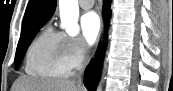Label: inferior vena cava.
Listing matches in <instances>:
<instances>
[{
	"mask_svg": "<svg viewBox=\"0 0 173 91\" xmlns=\"http://www.w3.org/2000/svg\"><path fill=\"white\" fill-rule=\"evenodd\" d=\"M86 49H87V47H86V44H85L84 47H83V52L84 53H86ZM83 71H84V65L80 66V68H79L78 82L81 81V74L83 73Z\"/></svg>",
	"mask_w": 173,
	"mask_h": 91,
	"instance_id": "1",
	"label": "inferior vena cava"
}]
</instances>
